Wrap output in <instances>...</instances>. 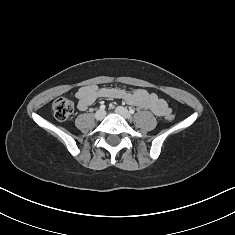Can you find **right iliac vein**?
Listing matches in <instances>:
<instances>
[{"mask_svg":"<svg viewBox=\"0 0 235 235\" xmlns=\"http://www.w3.org/2000/svg\"><path fill=\"white\" fill-rule=\"evenodd\" d=\"M105 111L104 110H98L96 113H95V118L96 120H102L104 117H105Z\"/></svg>","mask_w":235,"mask_h":235,"instance_id":"1","label":"right iliac vein"}]
</instances>
